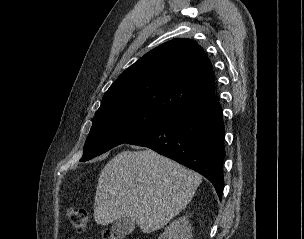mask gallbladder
<instances>
[{
  "mask_svg": "<svg viewBox=\"0 0 304 239\" xmlns=\"http://www.w3.org/2000/svg\"><path fill=\"white\" fill-rule=\"evenodd\" d=\"M135 228V221L132 218H120L113 222L112 231L118 236H126Z\"/></svg>",
  "mask_w": 304,
  "mask_h": 239,
  "instance_id": "obj_1",
  "label": "gallbladder"
}]
</instances>
